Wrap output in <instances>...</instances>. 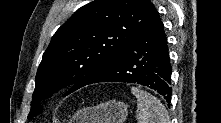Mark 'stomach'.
<instances>
[{
  "mask_svg": "<svg viewBox=\"0 0 221 123\" xmlns=\"http://www.w3.org/2000/svg\"><path fill=\"white\" fill-rule=\"evenodd\" d=\"M128 116V106L111 100L95 107L79 110L69 123H124Z\"/></svg>",
  "mask_w": 221,
  "mask_h": 123,
  "instance_id": "stomach-1",
  "label": "stomach"
}]
</instances>
